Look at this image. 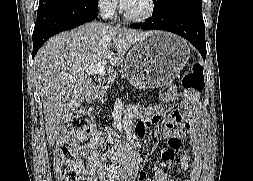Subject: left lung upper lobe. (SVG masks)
I'll return each mask as SVG.
<instances>
[{
  "instance_id": "left-lung-upper-lobe-1",
  "label": "left lung upper lobe",
  "mask_w": 253,
  "mask_h": 181,
  "mask_svg": "<svg viewBox=\"0 0 253 181\" xmlns=\"http://www.w3.org/2000/svg\"><path fill=\"white\" fill-rule=\"evenodd\" d=\"M182 6L201 8L202 0H156L152 16L165 14Z\"/></svg>"
}]
</instances>
